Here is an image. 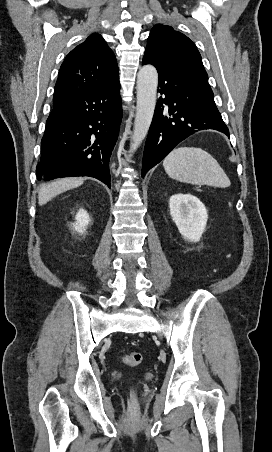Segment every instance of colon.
Segmentation results:
<instances>
[{
  "label": "colon",
  "mask_w": 272,
  "mask_h": 452,
  "mask_svg": "<svg viewBox=\"0 0 272 452\" xmlns=\"http://www.w3.org/2000/svg\"><path fill=\"white\" fill-rule=\"evenodd\" d=\"M143 360V356L139 352H131L124 356L123 362L129 366H137ZM137 403V398L134 393L131 394V404L135 406Z\"/></svg>",
  "instance_id": "obj_1"
}]
</instances>
